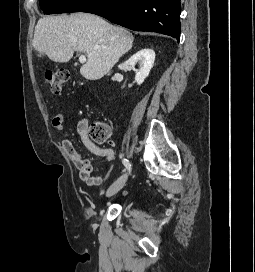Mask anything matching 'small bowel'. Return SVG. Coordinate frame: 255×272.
<instances>
[{
    "label": "small bowel",
    "mask_w": 255,
    "mask_h": 272,
    "mask_svg": "<svg viewBox=\"0 0 255 272\" xmlns=\"http://www.w3.org/2000/svg\"><path fill=\"white\" fill-rule=\"evenodd\" d=\"M64 117L61 113L56 114L52 119V125L57 130L63 129ZM80 139L85 148L92 154L103 159L104 170L109 171L114 160V150L112 148L100 147L94 143L87 134V126L85 122H81L77 128ZM62 148L73 162L74 166L78 169L80 178L89 186H100L104 183L103 176H93V167L91 162L81 155L73 146L72 142L68 139L62 141Z\"/></svg>",
    "instance_id": "1"
}]
</instances>
